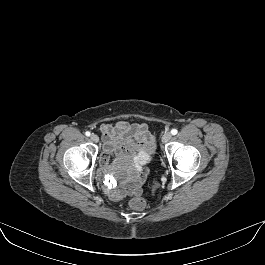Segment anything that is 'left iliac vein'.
Returning a JSON list of instances; mask_svg holds the SVG:
<instances>
[{"mask_svg": "<svg viewBox=\"0 0 265 265\" xmlns=\"http://www.w3.org/2000/svg\"><path fill=\"white\" fill-rule=\"evenodd\" d=\"M172 138V135L170 132H165L163 135H162V142L163 143H167L171 140Z\"/></svg>", "mask_w": 265, "mask_h": 265, "instance_id": "1", "label": "left iliac vein"}]
</instances>
